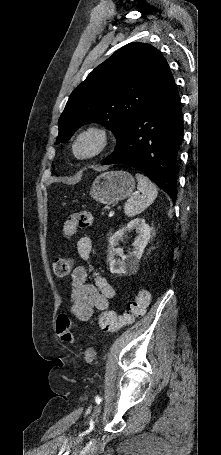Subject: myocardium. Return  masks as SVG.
<instances>
[{"instance_id": "myocardium-1", "label": "myocardium", "mask_w": 221, "mask_h": 455, "mask_svg": "<svg viewBox=\"0 0 221 455\" xmlns=\"http://www.w3.org/2000/svg\"><path fill=\"white\" fill-rule=\"evenodd\" d=\"M92 141L93 148L88 153H81L79 151L81 144L84 141ZM109 145L108 131L98 125H89L78 132L72 143V151L74 156L79 160H87L98 156L106 150Z\"/></svg>"}]
</instances>
